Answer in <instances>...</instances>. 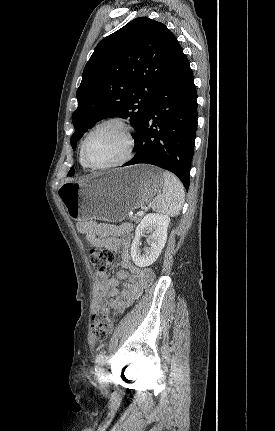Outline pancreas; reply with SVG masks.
Returning a JSON list of instances; mask_svg holds the SVG:
<instances>
[{"mask_svg":"<svg viewBox=\"0 0 275 431\" xmlns=\"http://www.w3.org/2000/svg\"><path fill=\"white\" fill-rule=\"evenodd\" d=\"M128 218L130 221H134V222L138 223V222H140L142 215L141 216H139V215H135V216L128 215Z\"/></svg>","mask_w":275,"mask_h":431,"instance_id":"cf45deb5","label":"pancreas"}]
</instances>
